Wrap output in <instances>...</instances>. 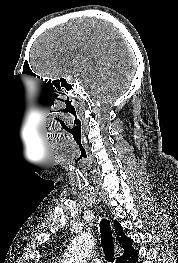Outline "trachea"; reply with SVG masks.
<instances>
[{
	"mask_svg": "<svg viewBox=\"0 0 178 263\" xmlns=\"http://www.w3.org/2000/svg\"><path fill=\"white\" fill-rule=\"evenodd\" d=\"M101 245L104 250L106 261L113 263L114 261V242L111 226L107 219L100 222Z\"/></svg>",
	"mask_w": 178,
	"mask_h": 263,
	"instance_id": "obj_1",
	"label": "trachea"
}]
</instances>
